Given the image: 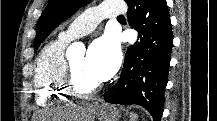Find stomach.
Masks as SVG:
<instances>
[{
  "instance_id": "0dacf381",
  "label": "stomach",
  "mask_w": 217,
  "mask_h": 121,
  "mask_svg": "<svg viewBox=\"0 0 217 121\" xmlns=\"http://www.w3.org/2000/svg\"><path fill=\"white\" fill-rule=\"evenodd\" d=\"M92 116V121H94L95 118L97 121H118L121 114L120 111L114 106L103 103L101 105L96 104L95 111Z\"/></svg>"
}]
</instances>
